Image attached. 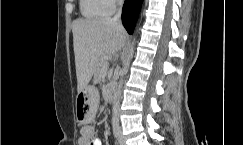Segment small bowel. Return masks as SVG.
<instances>
[{"mask_svg":"<svg viewBox=\"0 0 243 145\" xmlns=\"http://www.w3.org/2000/svg\"><path fill=\"white\" fill-rule=\"evenodd\" d=\"M78 145H102V142L99 138L95 137L93 127L85 126L80 131Z\"/></svg>","mask_w":243,"mask_h":145,"instance_id":"small-bowel-1","label":"small bowel"}]
</instances>
